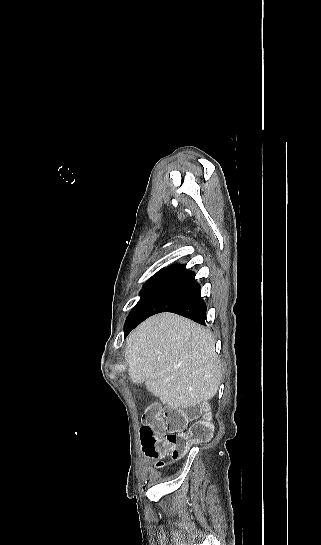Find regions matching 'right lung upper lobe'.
<instances>
[{
  "instance_id": "1",
  "label": "right lung upper lobe",
  "mask_w": 321,
  "mask_h": 545,
  "mask_svg": "<svg viewBox=\"0 0 321 545\" xmlns=\"http://www.w3.org/2000/svg\"><path fill=\"white\" fill-rule=\"evenodd\" d=\"M183 267H185L184 264H176V265L170 266L169 268H163V269H172V270H175V271H176V270H178V269H180V268H183Z\"/></svg>"
}]
</instances>
